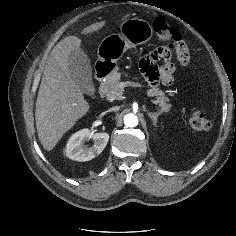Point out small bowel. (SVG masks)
<instances>
[{
  "mask_svg": "<svg viewBox=\"0 0 236 236\" xmlns=\"http://www.w3.org/2000/svg\"><path fill=\"white\" fill-rule=\"evenodd\" d=\"M178 61L181 66L185 67L189 62V51L187 48L177 51ZM157 61H162L160 67L156 66ZM140 67L142 73L147 78L150 85L155 86L159 82L169 85L173 81L175 65L172 61V54L169 50L159 47L151 54L145 56Z\"/></svg>",
  "mask_w": 236,
  "mask_h": 236,
  "instance_id": "c3829d8e",
  "label": "small bowel"
}]
</instances>
